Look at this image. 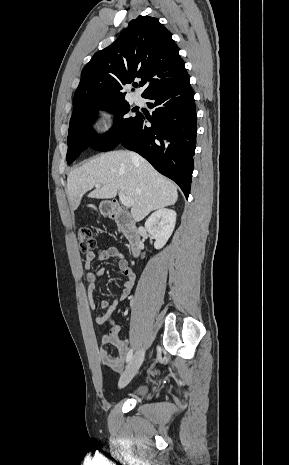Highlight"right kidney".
<instances>
[{
    "label": "right kidney",
    "mask_w": 289,
    "mask_h": 465,
    "mask_svg": "<svg viewBox=\"0 0 289 465\" xmlns=\"http://www.w3.org/2000/svg\"><path fill=\"white\" fill-rule=\"evenodd\" d=\"M176 223V212L161 208L155 211L145 222V228L155 239V249H161L173 233Z\"/></svg>",
    "instance_id": "obj_1"
}]
</instances>
